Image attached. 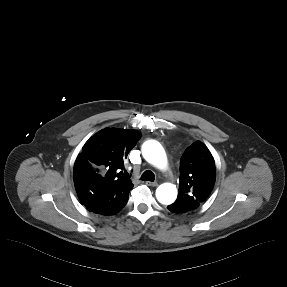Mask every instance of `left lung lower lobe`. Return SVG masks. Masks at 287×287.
Instances as JSON below:
<instances>
[{"label":"left lung lower lobe","mask_w":287,"mask_h":287,"mask_svg":"<svg viewBox=\"0 0 287 287\" xmlns=\"http://www.w3.org/2000/svg\"><path fill=\"white\" fill-rule=\"evenodd\" d=\"M171 212L182 213L181 209L176 207L175 204H171L167 207Z\"/></svg>","instance_id":"1"}]
</instances>
